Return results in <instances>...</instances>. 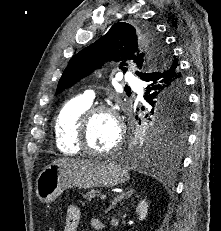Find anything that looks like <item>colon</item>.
<instances>
[{"mask_svg":"<svg viewBox=\"0 0 221 231\" xmlns=\"http://www.w3.org/2000/svg\"><path fill=\"white\" fill-rule=\"evenodd\" d=\"M46 231H56V229L54 226L50 225V226H48Z\"/></svg>","mask_w":221,"mask_h":231,"instance_id":"colon-1","label":"colon"}]
</instances>
